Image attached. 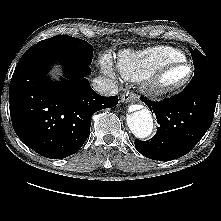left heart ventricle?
I'll return each instance as SVG.
<instances>
[{"label":"left heart ventricle","mask_w":221,"mask_h":221,"mask_svg":"<svg viewBox=\"0 0 221 221\" xmlns=\"http://www.w3.org/2000/svg\"><path fill=\"white\" fill-rule=\"evenodd\" d=\"M188 73H189L188 67L186 66L178 67L165 76L164 82L166 84L179 83L188 76Z\"/></svg>","instance_id":"left-heart-ventricle-1"}]
</instances>
